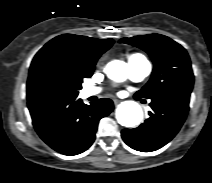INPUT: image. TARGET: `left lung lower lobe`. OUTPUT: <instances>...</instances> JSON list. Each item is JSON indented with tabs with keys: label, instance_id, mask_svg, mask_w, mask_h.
I'll use <instances>...</instances> for the list:
<instances>
[{
	"label": "left lung lower lobe",
	"instance_id": "1",
	"mask_svg": "<svg viewBox=\"0 0 212 183\" xmlns=\"http://www.w3.org/2000/svg\"><path fill=\"white\" fill-rule=\"evenodd\" d=\"M150 106L153 111L143 124L121 133L128 146L142 152L163 147L178 133L189 110V96H157Z\"/></svg>",
	"mask_w": 212,
	"mask_h": 183
}]
</instances>
